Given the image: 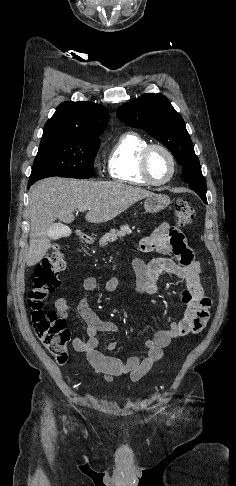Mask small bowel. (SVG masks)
<instances>
[{"label": "small bowel", "mask_w": 236, "mask_h": 486, "mask_svg": "<svg viewBox=\"0 0 236 486\" xmlns=\"http://www.w3.org/2000/svg\"><path fill=\"white\" fill-rule=\"evenodd\" d=\"M138 249L142 252H158L163 255H174L175 260L167 256L154 257L148 263L140 258L132 260L136 275L135 293L138 295H154L157 292V280L163 273L182 279L186 289L179 292V300L186 306L182 318L173 322L168 329L156 331L152 337L143 343L145 355H133L125 362L119 358L101 353L97 334L100 332L116 333L118 326L112 321H106L96 315L88 302V293L97 288V280L88 277L82 284V296L77 303V311L87 324V339L75 337L72 346L75 351L82 352L93 370L103 375L108 381L115 377L129 374L136 382L147 375L154 365L163 359L164 350L173 339L188 334L200 333L209 319L210 299L205 295L200 283V265L194 259L193 252L188 247L184 235L169 223H162L153 232L140 240ZM118 285V278L113 277L104 285V290L110 292ZM57 315L66 320L71 311V305L64 297L54 302ZM112 351L115 342L107 346Z\"/></svg>", "instance_id": "obj_1"}]
</instances>
